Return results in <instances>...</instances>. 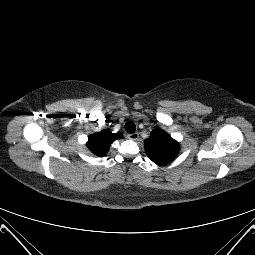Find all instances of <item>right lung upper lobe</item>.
<instances>
[{
  "mask_svg": "<svg viewBox=\"0 0 255 255\" xmlns=\"http://www.w3.org/2000/svg\"><path fill=\"white\" fill-rule=\"evenodd\" d=\"M122 138L120 132L112 133L110 130H103L88 137L87 147L96 156L103 157L107 154L111 144Z\"/></svg>",
  "mask_w": 255,
  "mask_h": 255,
  "instance_id": "obj_1",
  "label": "right lung upper lobe"
}]
</instances>
